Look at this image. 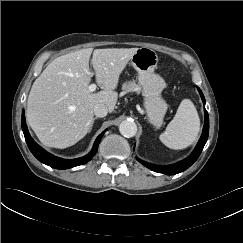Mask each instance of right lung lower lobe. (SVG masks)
<instances>
[{
	"label": "right lung lower lobe",
	"mask_w": 243,
	"mask_h": 243,
	"mask_svg": "<svg viewBox=\"0 0 243 243\" xmlns=\"http://www.w3.org/2000/svg\"><path fill=\"white\" fill-rule=\"evenodd\" d=\"M22 130H23L27 145H28L30 151L32 152V154L40 162H42L52 168H56V169H68V168H72L75 166L83 165V164L87 163L88 161H90L92 159V157L95 155V153L97 152V148L100 143V140L106 131L105 130L97 137V139L93 145V148L88 155L81 157V158L73 159V160H64V159H60V158L55 157V156L51 155L50 153L46 152L42 147H40L31 138V136L28 132L27 126H26L24 113L22 114Z\"/></svg>",
	"instance_id": "right-lung-lower-lobe-1"
}]
</instances>
